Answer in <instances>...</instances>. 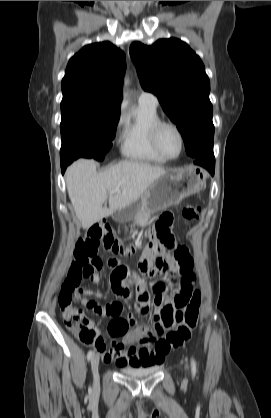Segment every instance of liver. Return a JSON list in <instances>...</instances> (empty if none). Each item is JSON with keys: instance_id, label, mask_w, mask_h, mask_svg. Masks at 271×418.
Segmentation results:
<instances>
[{"instance_id": "1", "label": "liver", "mask_w": 271, "mask_h": 418, "mask_svg": "<svg viewBox=\"0 0 271 418\" xmlns=\"http://www.w3.org/2000/svg\"><path fill=\"white\" fill-rule=\"evenodd\" d=\"M167 171L147 163L125 160L103 173L92 159H80L66 171L67 191L77 218L89 228L139 199ZM115 190L114 193L110 191ZM109 207H105L106 199Z\"/></svg>"}]
</instances>
